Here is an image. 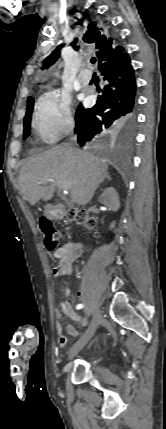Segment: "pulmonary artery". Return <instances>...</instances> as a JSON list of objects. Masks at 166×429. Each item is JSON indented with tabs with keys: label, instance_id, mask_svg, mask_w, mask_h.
I'll use <instances>...</instances> for the list:
<instances>
[{
	"label": "pulmonary artery",
	"instance_id": "1",
	"mask_svg": "<svg viewBox=\"0 0 166 429\" xmlns=\"http://www.w3.org/2000/svg\"><path fill=\"white\" fill-rule=\"evenodd\" d=\"M83 73L87 74V77H79V81L82 85H86L89 82V78H90V70L85 68L83 70Z\"/></svg>",
	"mask_w": 166,
	"mask_h": 429
}]
</instances>
